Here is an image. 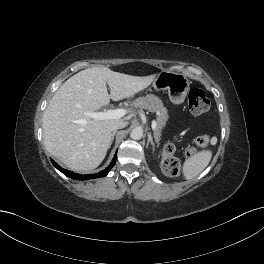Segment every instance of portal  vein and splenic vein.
Returning <instances> with one entry per match:
<instances>
[{
  "mask_svg": "<svg viewBox=\"0 0 264 264\" xmlns=\"http://www.w3.org/2000/svg\"><path fill=\"white\" fill-rule=\"evenodd\" d=\"M85 114L96 120H108V119H117V118L123 117L124 115H126V110L125 109H114V110H108L106 112L86 111ZM156 127H157V122L153 121L152 122L153 131L156 130Z\"/></svg>",
  "mask_w": 264,
  "mask_h": 264,
  "instance_id": "18ae733b",
  "label": "portal vein and splenic vein"
}]
</instances>
